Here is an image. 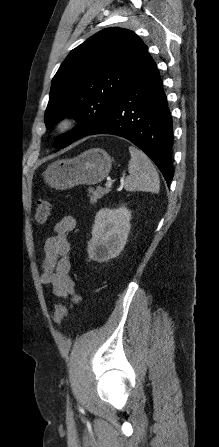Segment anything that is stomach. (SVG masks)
Here are the masks:
<instances>
[{"label":"stomach","mask_w":219,"mask_h":447,"mask_svg":"<svg viewBox=\"0 0 219 447\" xmlns=\"http://www.w3.org/2000/svg\"><path fill=\"white\" fill-rule=\"evenodd\" d=\"M112 159L100 148L89 149L72 159L53 162L43 176L51 187L65 190L79 184L93 185L108 176Z\"/></svg>","instance_id":"obj_1"}]
</instances>
